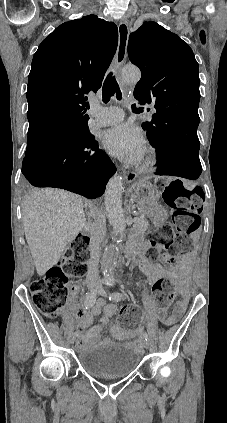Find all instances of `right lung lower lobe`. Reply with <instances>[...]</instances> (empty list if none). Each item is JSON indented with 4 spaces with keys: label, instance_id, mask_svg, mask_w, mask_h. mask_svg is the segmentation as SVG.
Returning <instances> with one entry per match:
<instances>
[{
    "label": "right lung lower lobe",
    "instance_id": "1",
    "mask_svg": "<svg viewBox=\"0 0 227 423\" xmlns=\"http://www.w3.org/2000/svg\"><path fill=\"white\" fill-rule=\"evenodd\" d=\"M115 171L89 132L28 154L22 164V173L33 186L62 188L91 199L103 195Z\"/></svg>",
    "mask_w": 227,
    "mask_h": 423
}]
</instances>
